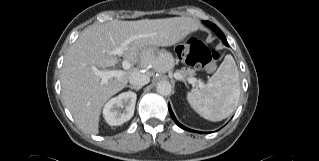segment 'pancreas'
I'll list each match as a JSON object with an SVG mask.
<instances>
[{
    "mask_svg": "<svg viewBox=\"0 0 319 161\" xmlns=\"http://www.w3.org/2000/svg\"><path fill=\"white\" fill-rule=\"evenodd\" d=\"M179 73L183 76V78H192L194 73V70L191 69H182L179 71Z\"/></svg>",
    "mask_w": 319,
    "mask_h": 161,
    "instance_id": "pancreas-1",
    "label": "pancreas"
}]
</instances>
